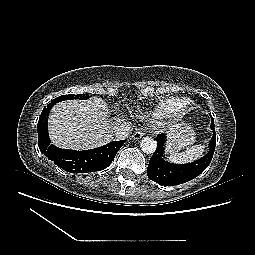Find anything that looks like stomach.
Segmentation results:
<instances>
[{
	"label": "stomach",
	"mask_w": 255,
	"mask_h": 255,
	"mask_svg": "<svg viewBox=\"0 0 255 255\" xmlns=\"http://www.w3.org/2000/svg\"><path fill=\"white\" fill-rule=\"evenodd\" d=\"M195 142V132L190 125L178 123L169 128L167 134V152L176 153Z\"/></svg>",
	"instance_id": "0dacf381"
}]
</instances>
